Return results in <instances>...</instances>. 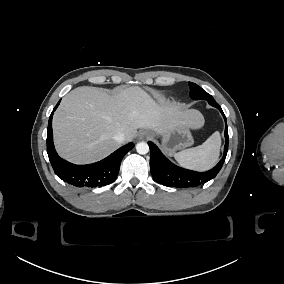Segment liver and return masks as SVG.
<instances>
[{"label": "liver", "instance_id": "obj_1", "mask_svg": "<svg viewBox=\"0 0 284 284\" xmlns=\"http://www.w3.org/2000/svg\"><path fill=\"white\" fill-rule=\"evenodd\" d=\"M177 125L201 128L204 117L195 109L160 105L138 86L113 96L101 88L78 87L63 97L53 117L57 152L77 164L101 160L118 149L121 144L113 137L119 132L128 143L139 128L161 134Z\"/></svg>", "mask_w": 284, "mask_h": 284}]
</instances>
